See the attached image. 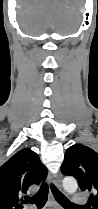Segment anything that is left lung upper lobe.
Returning a JSON list of instances; mask_svg holds the SVG:
<instances>
[{"mask_svg":"<svg viewBox=\"0 0 98 209\" xmlns=\"http://www.w3.org/2000/svg\"><path fill=\"white\" fill-rule=\"evenodd\" d=\"M61 171L75 177L82 191L91 193L88 209H98V153L82 144H74L65 153Z\"/></svg>","mask_w":98,"mask_h":209,"instance_id":"obj_1","label":"left lung upper lobe"}]
</instances>
